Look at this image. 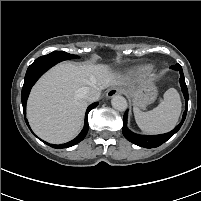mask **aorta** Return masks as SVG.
Segmentation results:
<instances>
[{
  "label": "aorta",
  "mask_w": 201,
  "mask_h": 201,
  "mask_svg": "<svg viewBox=\"0 0 201 201\" xmlns=\"http://www.w3.org/2000/svg\"><path fill=\"white\" fill-rule=\"evenodd\" d=\"M111 104L114 109L118 111H125L127 108V101L123 96L115 95L112 97Z\"/></svg>",
  "instance_id": "obj_1"
}]
</instances>
